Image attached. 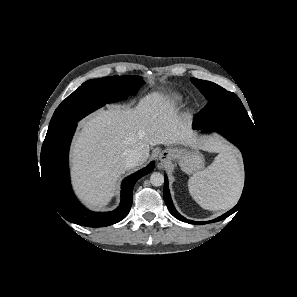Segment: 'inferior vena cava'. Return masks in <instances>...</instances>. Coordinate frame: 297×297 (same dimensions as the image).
Here are the masks:
<instances>
[{"instance_id": "1", "label": "inferior vena cava", "mask_w": 297, "mask_h": 297, "mask_svg": "<svg viewBox=\"0 0 297 297\" xmlns=\"http://www.w3.org/2000/svg\"><path fill=\"white\" fill-rule=\"evenodd\" d=\"M144 158L142 152L139 150H132L125 159L126 169L136 167L139 163L143 162Z\"/></svg>"}]
</instances>
